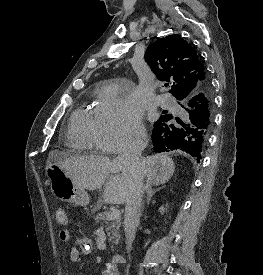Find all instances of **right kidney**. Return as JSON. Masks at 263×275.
I'll return each instance as SVG.
<instances>
[{
    "mask_svg": "<svg viewBox=\"0 0 263 275\" xmlns=\"http://www.w3.org/2000/svg\"><path fill=\"white\" fill-rule=\"evenodd\" d=\"M159 211H160L161 214H163L165 212V208L162 206V207L159 208Z\"/></svg>",
    "mask_w": 263,
    "mask_h": 275,
    "instance_id": "1",
    "label": "right kidney"
}]
</instances>
